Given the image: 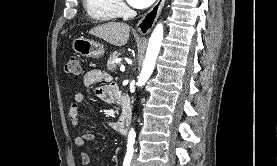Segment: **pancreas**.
I'll return each mask as SVG.
<instances>
[{
	"label": "pancreas",
	"instance_id": "1",
	"mask_svg": "<svg viewBox=\"0 0 277 166\" xmlns=\"http://www.w3.org/2000/svg\"><path fill=\"white\" fill-rule=\"evenodd\" d=\"M121 56L120 52H114L112 55H110L108 61H107V69L114 72L117 68V64L115 60Z\"/></svg>",
	"mask_w": 277,
	"mask_h": 166
}]
</instances>
